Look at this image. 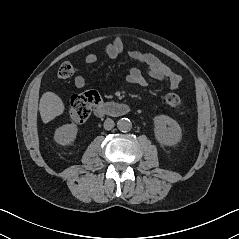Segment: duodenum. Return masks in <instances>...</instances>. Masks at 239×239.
Segmentation results:
<instances>
[{"instance_id":"410a0bca","label":"duodenum","mask_w":239,"mask_h":239,"mask_svg":"<svg viewBox=\"0 0 239 239\" xmlns=\"http://www.w3.org/2000/svg\"><path fill=\"white\" fill-rule=\"evenodd\" d=\"M130 111L131 107L125 103L107 102L96 106L94 113L97 117H103L105 115L124 116L129 114Z\"/></svg>"}]
</instances>
